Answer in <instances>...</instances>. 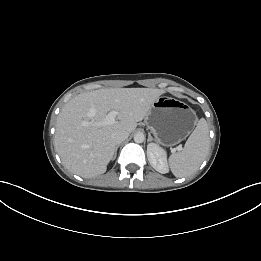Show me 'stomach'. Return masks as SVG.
<instances>
[{"mask_svg": "<svg viewBox=\"0 0 261 261\" xmlns=\"http://www.w3.org/2000/svg\"><path fill=\"white\" fill-rule=\"evenodd\" d=\"M145 119L155 140L163 146L180 143L198 122L196 112L188 104L167 96L155 100Z\"/></svg>", "mask_w": 261, "mask_h": 261, "instance_id": "1", "label": "stomach"}]
</instances>
